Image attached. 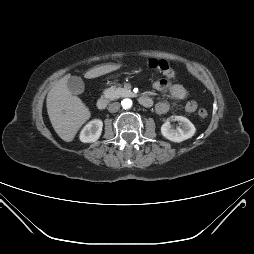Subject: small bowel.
<instances>
[{
	"label": "small bowel",
	"mask_w": 254,
	"mask_h": 254,
	"mask_svg": "<svg viewBox=\"0 0 254 254\" xmlns=\"http://www.w3.org/2000/svg\"><path fill=\"white\" fill-rule=\"evenodd\" d=\"M153 88L160 92H168L171 97L178 100H184L188 97L189 92L182 84H173L169 80L161 78L153 83ZM170 104L166 101L158 102L155 106V110L158 114H165L169 111ZM197 109V103L193 100H189L185 104V110L189 113L195 112Z\"/></svg>",
	"instance_id": "c3829d8e"
}]
</instances>
